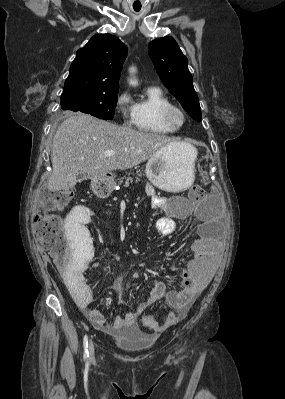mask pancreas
<instances>
[{
  "label": "pancreas",
  "instance_id": "obj_1",
  "mask_svg": "<svg viewBox=\"0 0 285 399\" xmlns=\"http://www.w3.org/2000/svg\"><path fill=\"white\" fill-rule=\"evenodd\" d=\"M136 181H138V179H136ZM121 182H123V180ZM132 182H133V179L131 177H127L124 182L125 187H128L129 184Z\"/></svg>",
  "mask_w": 285,
  "mask_h": 399
}]
</instances>
